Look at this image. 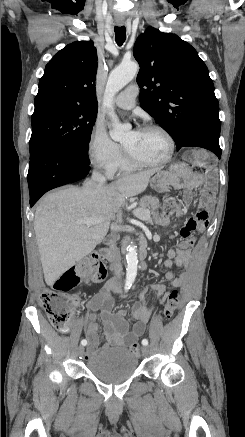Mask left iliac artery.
Instances as JSON below:
<instances>
[{
  "mask_svg": "<svg viewBox=\"0 0 245 437\" xmlns=\"http://www.w3.org/2000/svg\"><path fill=\"white\" fill-rule=\"evenodd\" d=\"M142 344H143L144 346L148 345V340H147V339H143V340H142Z\"/></svg>",
  "mask_w": 245,
  "mask_h": 437,
  "instance_id": "44dca946",
  "label": "left iliac artery"
}]
</instances>
